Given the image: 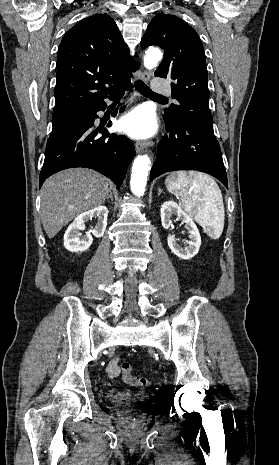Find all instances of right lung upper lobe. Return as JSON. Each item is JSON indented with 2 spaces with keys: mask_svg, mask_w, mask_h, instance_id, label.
Segmentation results:
<instances>
[{
  "mask_svg": "<svg viewBox=\"0 0 279 465\" xmlns=\"http://www.w3.org/2000/svg\"><path fill=\"white\" fill-rule=\"evenodd\" d=\"M107 14L85 18L62 39L57 57L53 126L119 91L140 66Z\"/></svg>",
  "mask_w": 279,
  "mask_h": 465,
  "instance_id": "obj_1",
  "label": "right lung upper lobe"
}]
</instances>
